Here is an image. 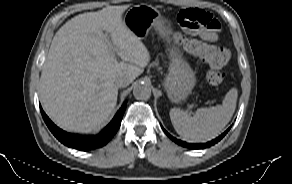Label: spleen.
I'll return each instance as SVG.
<instances>
[{"mask_svg":"<svg viewBox=\"0 0 292 184\" xmlns=\"http://www.w3.org/2000/svg\"><path fill=\"white\" fill-rule=\"evenodd\" d=\"M237 89L226 94L222 105L199 108L191 115L179 108L169 112L176 132L188 142H205L215 138L231 120L237 101Z\"/></svg>","mask_w":292,"mask_h":184,"instance_id":"spleen-1","label":"spleen"}]
</instances>
